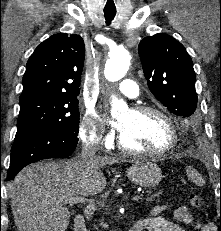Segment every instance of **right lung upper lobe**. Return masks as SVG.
Wrapping results in <instances>:
<instances>
[{"label":"right lung upper lobe","mask_w":221,"mask_h":231,"mask_svg":"<svg viewBox=\"0 0 221 231\" xmlns=\"http://www.w3.org/2000/svg\"><path fill=\"white\" fill-rule=\"evenodd\" d=\"M85 58L79 35H52L28 59L19 99L32 96H78Z\"/></svg>","instance_id":"right-lung-upper-lobe-1"}]
</instances>
